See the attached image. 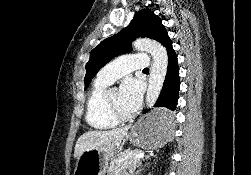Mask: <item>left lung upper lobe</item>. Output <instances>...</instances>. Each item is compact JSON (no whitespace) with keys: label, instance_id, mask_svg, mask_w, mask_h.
<instances>
[{"label":"left lung upper lobe","instance_id":"1","mask_svg":"<svg viewBox=\"0 0 251 175\" xmlns=\"http://www.w3.org/2000/svg\"><path fill=\"white\" fill-rule=\"evenodd\" d=\"M167 34L159 16L143 9L136 12L130 24L116 35L103 40L90 53L86 64L85 89L96 73L115 56L131 50V43L138 37H148L158 42Z\"/></svg>","mask_w":251,"mask_h":175}]
</instances>
